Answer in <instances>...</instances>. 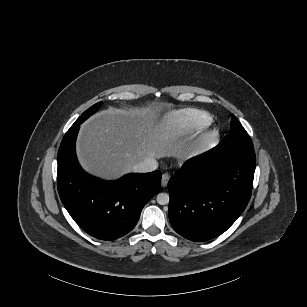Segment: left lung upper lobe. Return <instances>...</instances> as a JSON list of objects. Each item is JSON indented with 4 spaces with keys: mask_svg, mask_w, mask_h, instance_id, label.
<instances>
[{
    "mask_svg": "<svg viewBox=\"0 0 307 307\" xmlns=\"http://www.w3.org/2000/svg\"><path fill=\"white\" fill-rule=\"evenodd\" d=\"M218 145L253 148V144L248 133L235 116H233L231 120L229 134Z\"/></svg>",
    "mask_w": 307,
    "mask_h": 307,
    "instance_id": "left-lung-upper-lobe-1",
    "label": "left lung upper lobe"
}]
</instances>
